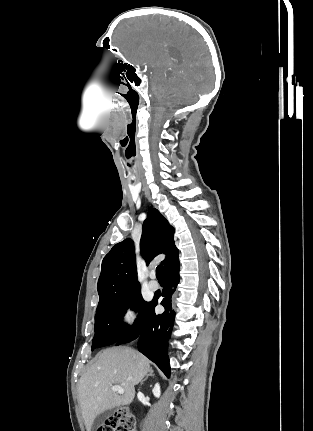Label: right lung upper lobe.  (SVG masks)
Segmentation results:
<instances>
[{
	"label": "right lung upper lobe",
	"instance_id": "cb5924a9",
	"mask_svg": "<svg viewBox=\"0 0 313 431\" xmlns=\"http://www.w3.org/2000/svg\"><path fill=\"white\" fill-rule=\"evenodd\" d=\"M173 234L174 228L167 219L157 209H151L143 223L140 240L141 254L147 264L158 254L164 253L166 257L162 263L166 268L179 254ZM97 289L99 303L140 289L131 239L117 243L104 257Z\"/></svg>",
	"mask_w": 313,
	"mask_h": 431
}]
</instances>
